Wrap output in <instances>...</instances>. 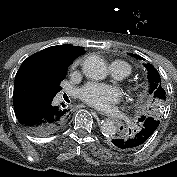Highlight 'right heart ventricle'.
Here are the masks:
<instances>
[{
	"label": "right heart ventricle",
	"instance_id": "right-heart-ventricle-1",
	"mask_svg": "<svg viewBox=\"0 0 177 177\" xmlns=\"http://www.w3.org/2000/svg\"><path fill=\"white\" fill-rule=\"evenodd\" d=\"M123 62V61H122ZM125 64V66L127 67L128 71H129V74L131 73L132 71V68L129 64H127L126 62H123Z\"/></svg>",
	"mask_w": 177,
	"mask_h": 177
}]
</instances>
